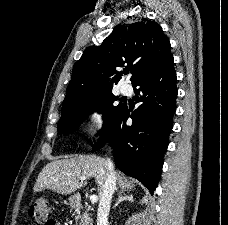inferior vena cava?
Wrapping results in <instances>:
<instances>
[{
    "mask_svg": "<svg viewBox=\"0 0 228 225\" xmlns=\"http://www.w3.org/2000/svg\"><path fill=\"white\" fill-rule=\"evenodd\" d=\"M108 173L107 179L102 185V197L100 199L98 213H97V225H108V215L110 213V203L112 195L116 191V177L114 175L113 163L111 159H107Z\"/></svg>",
    "mask_w": 228,
    "mask_h": 225,
    "instance_id": "1",
    "label": "inferior vena cava"
}]
</instances>
